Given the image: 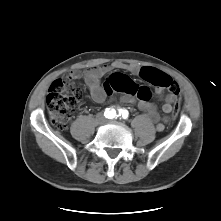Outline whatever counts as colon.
<instances>
[{"mask_svg": "<svg viewBox=\"0 0 221 221\" xmlns=\"http://www.w3.org/2000/svg\"><path fill=\"white\" fill-rule=\"evenodd\" d=\"M140 76L147 82L168 89L171 94L180 98V87L169 75L153 68L145 67L140 71ZM127 93L136 96L140 100H149L151 90L146 85L130 83L122 87ZM109 94L112 93L108 90ZM82 97V89L74 84L71 77L55 80L49 88L47 97V109L52 124L59 130L67 128L72 114ZM179 112V101L173 108L174 115Z\"/></svg>", "mask_w": 221, "mask_h": 221, "instance_id": "colon-1", "label": "colon"}]
</instances>
